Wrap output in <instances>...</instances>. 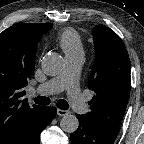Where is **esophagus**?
Here are the masks:
<instances>
[{"label": "esophagus", "mask_w": 144, "mask_h": 144, "mask_svg": "<svg viewBox=\"0 0 144 144\" xmlns=\"http://www.w3.org/2000/svg\"><path fill=\"white\" fill-rule=\"evenodd\" d=\"M69 112L68 111H66V110H61V109H58L57 110V115H59V116H65V115H67Z\"/></svg>", "instance_id": "obj_1"}]
</instances>
